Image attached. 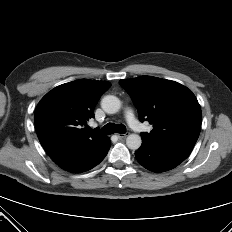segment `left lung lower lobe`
Wrapping results in <instances>:
<instances>
[{
	"label": "left lung lower lobe",
	"mask_w": 232,
	"mask_h": 232,
	"mask_svg": "<svg viewBox=\"0 0 232 232\" xmlns=\"http://www.w3.org/2000/svg\"><path fill=\"white\" fill-rule=\"evenodd\" d=\"M194 145L188 141L157 142L142 137L135 156L143 167L159 173L178 166L190 155Z\"/></svg>",
	"instance_id": "0a47b994"
}]
</instances>
